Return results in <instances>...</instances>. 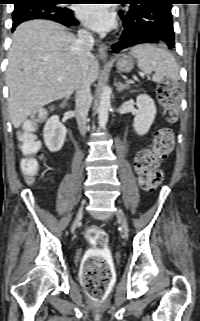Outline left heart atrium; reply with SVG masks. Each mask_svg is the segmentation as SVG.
Instances as JSON below:
<instances>
[{"label":"left heart atrium","mask_w":200,"mask_h":321,"mask_svg":"<svg viewBox=\"0 0 200 321\" xmlns=\"http://www.w3.org/2000/svg\"><path fill=\"white\" fill-rule=\"evenodd\" d=\"M78 17L89 28L107 31L114 25V15L104 4H86L78 9Z\"/></svg>","instance_id":"39dd6f15"}]
</instances>
